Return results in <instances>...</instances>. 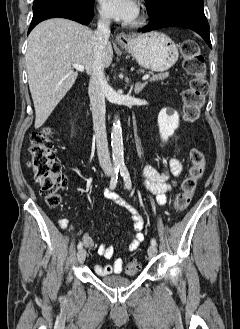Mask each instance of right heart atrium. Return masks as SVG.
<instances>
[{
  "mask_svg": "<svg viewBox=\"0 0 240 329\" xmlns=\"http://www.w3.org/2000/svg\"><path fill=\"white\" fill-rule=\"evenodd\" d=\"M100 21L103 22V23L108 22L107 18L104 15L100 16Z\"/></svg>",
  "mask_w": 240,
  "mask_h": 329,
  "instance_id": "1",
  "label": "right heart atrium"
}]
</instances>
